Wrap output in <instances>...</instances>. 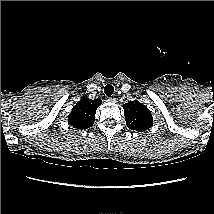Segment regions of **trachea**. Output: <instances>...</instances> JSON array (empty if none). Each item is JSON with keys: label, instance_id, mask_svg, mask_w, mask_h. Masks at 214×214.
<instances>
[{"label": "trachea", "instance_id": "3493384b", "mask_svg": "<svg viewBox=\"0 0 214 214\" xmlns=\"http://www.w3.org/2000/svg\"><path fill=\"white\" fill-rule=\"evenodd\" d=\"M114 92V87L111 85V84H107L104 88V93L107 95V96H111Z\"/></svg>", "mask_w": 214, "mask_h": 214}]
</instances>
